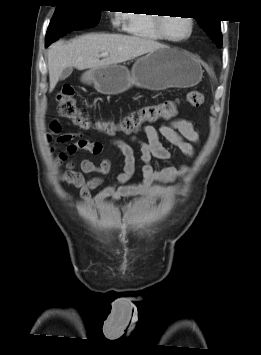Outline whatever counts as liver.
<instances>
[{
  "instance_id": "liver-1",
  "label": "liver",
  "mask_w": 261,
  "mask_h": 355,
  "mask_svg": "<svg viewBox=\"0 0 261 355\" xmlns=\"http://www.w3.org/2000/svg\"><path fill=\"white\" fill-rule=\"evenodd\" d=\"M162 44L146 38L122 34L91 33L68 43L57 41L48 49L49 91L52 92L66 67L78 70L118 64L154 51ZM108 56L100 60V54Z\"/></svg>"
}]
</instances>
